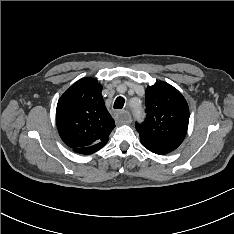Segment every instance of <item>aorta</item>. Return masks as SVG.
<instances>
[{
	"mask_svg": "<svg viewBox=\"0 0 234 234\" xmlns=\"http://www.w3.org/2000/svg\"><path fill=\"white\" fill-rule=\"evenodd\" d=\"M132 110L134 115L138 118L141 119L142 115H143V108L141 106V104H137V105H132Z\"/></svg>",
	"mask_w": 234,
	"mask_h": 234,
	"instance_id": "obj_1",
	"label": "aorta"
}]
</instances>
